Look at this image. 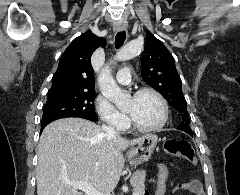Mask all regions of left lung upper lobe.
<instances>
[{
	"label": "left lung upper lobe",
	"mask_w": 240,
	"mask_h": 195,
	"mask_svg": "<svg viewBox=\"0 0 240 195\" xmlns=\"http://www.w3.org/2000/svg\"><path fill=\"white\" fill-rule=\"evenodd\" d=\"M141 76L180 113L182 121L177 129L192 135L182 92V81L177 73L174 59L164 44L150 32H147V42L141 60Z\"/></svg>",
	"instance_id": "1"
}]
</instances>
